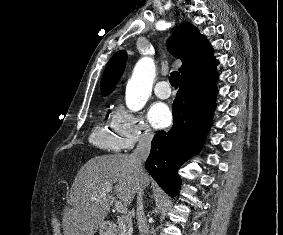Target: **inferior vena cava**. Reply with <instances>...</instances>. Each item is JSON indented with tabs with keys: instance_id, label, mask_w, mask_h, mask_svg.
<instances>
[{
	"instance_id": "602c4592",
	"label": "inferior vena cava",
	"mask_w": 283,
	"mask_h": 235,
	"mask_svg": "<svg viewBox=\"0 0 283 235\" xmlns=\"http://www.w3.org/2000/svg\"><path fill=\"white\" fill-rule=\"evenodd\" d=\"M153 134L146 130L143 134L140 135L138 144L133 150V153L130 155L131 160L134 162L136 168V174L138 178L144 173V163L149 156L151 141ZM137 194V210H136V219L140 235H149V226L143 210V188L138 185L136 189Z\"/></svg>"
}]
</instances>
